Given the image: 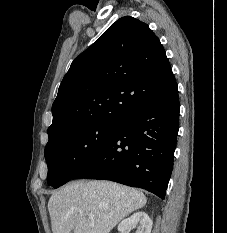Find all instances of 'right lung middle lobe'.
I'll use <instances>...</instances> for the list:
<instances>
[{"mask_svg":"<svg viewBox=\"0 0 227 233\" xmlns=\"http://www.w3.org/2000/svg\"><path fill=\"white\" fill-rule=\"evenodd\" d=\"M120 122H95L75 127L49 139L45 147L47 182L58 188L73 179L108 142Z\"/></svg>","mask_w":227,"mask_h":233,"instance_id":"1","label":"right lung middle lobe"}]
</instances>
